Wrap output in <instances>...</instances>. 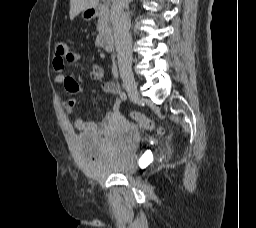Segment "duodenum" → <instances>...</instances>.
Listing matches in <instances>:
<instances>
[{
  "label": "duodenum",
  "mask_w": 256,
  "mask_h": 228,
  "mask_svg": "<svg viewBox=\"0 0 256 228\" xmlns=\"http://www.w3.org/2000/svg\"><path fill=\"white\" fill-rule=\"evenodd\" d=\"M102 11V7L99 4H94L89 8V14L92 17L98 16ZM98 45L106 51H111L113 49V37L110 32L103 31L97 37Z\"/></svg>",
  "instance_id": "1"
}]
</instances>
